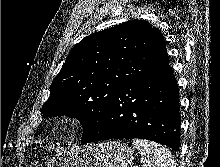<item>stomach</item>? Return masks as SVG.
Listing matches in <instances>:
<instances>
[{"label": "stomach", "mask_w": 220, "mask_h": 167, "mask_svg": "<svg viewBox=\"0 0 220 167\" xmlns=\"http://www.w3.org/2000/svg\"><path fill=\"white\" fill-rule=\"evenodd\" d=\"M133 152L119 141L94 144L56 155L47 167H132Z\"/></svg>", "instance_id": "obj_1"}]
</instances>
